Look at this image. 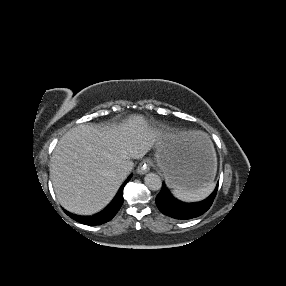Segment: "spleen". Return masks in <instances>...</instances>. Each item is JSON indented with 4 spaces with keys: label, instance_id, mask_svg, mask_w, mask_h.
<instances>
[{
    "label": "spleen",
    "instance_id": "obj_1",
    "mask_svg": "<svg viewBox=\"0 0 286 286\" xmlns=\"http://www.w3.org/2000/svg\"><path fill=\"white\" fill-rule=\"evenodd\" d=\"M215 183L212 181L204 188L187 190L179 186L172 187V194L179 200L185 202H196L205 199L214 189Z\"/></svg>",
    "mask_w": 286,
    "mask_h": 286
}]
</instances>
